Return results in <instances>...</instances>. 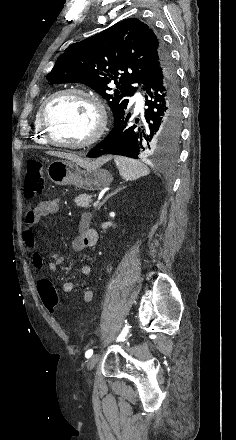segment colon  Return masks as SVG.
Segmentation results:
<instances>
[{"label":"colon","mask_w":236,"mask_h":440,"mask_svg":"<svg viewBox=\"0 0 236 440\" xmlns=\"http://www.w3.org/2000/svg\"><path fill=\"white\" fill-rule=\"evenodd\" d=\"M24 188L26 194L30 197L44 191L45 174L43 164L40 160L31 159L28 162ZM38 290L44 306L48 310L54 311L58 306V295L52 283L48 280H40Z\"/></svg>","instance_id":"1"}]
</instances>
